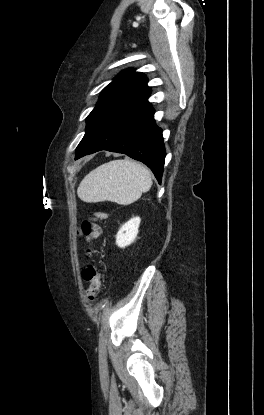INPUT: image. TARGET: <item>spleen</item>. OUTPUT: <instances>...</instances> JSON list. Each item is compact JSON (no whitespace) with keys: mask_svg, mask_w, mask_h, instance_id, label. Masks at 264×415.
Segmentation results:
<instances>
[{"mask_svg":"<svg viewBox=\"0 0 264 415\" xmlns=\"http://www.w3.org/2000/svg\"><path fill=\"white\" fill-rule=\"evenodd\" d=\"M152 186V175L143 165L113 160L92 170L80 182L78 197L87 203L111 201L128 205L138 200Z\"/></svg>","mask_w":264,"mask_h":415,"instance_id":"obj_1","label":"spleen"}]
</instances>
